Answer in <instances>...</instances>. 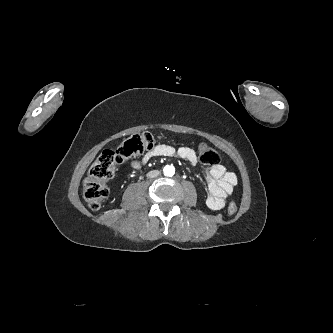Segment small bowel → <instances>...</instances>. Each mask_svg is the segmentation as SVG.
Segmentation results:
<instances>
[{
	"label": "small bowel",
	"mask_w": 333,
	"mask_h": 333,
	"mask_svg": "<svg viewBox=\"0 0 333 333\" xmlns=\"http://www.w3.org/2000/svg\"><path fill=\"white\" fill-rule=\"evenodd\" d=\"M170 156H177L191 163L197 162V156L193 149L186 146L175 148L170 145L161 144L147 152L141 159L133 160L131 166L138 169L154 157ZM205 179L208 186L207 206L211 210L224 208L226 200L231 196L234 187L238 183L236 174L228 171L223 165L218 164L205 172Z\"/></svg>",
	"instance_id": "obj_1"
}]
</instances>
